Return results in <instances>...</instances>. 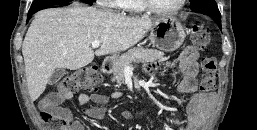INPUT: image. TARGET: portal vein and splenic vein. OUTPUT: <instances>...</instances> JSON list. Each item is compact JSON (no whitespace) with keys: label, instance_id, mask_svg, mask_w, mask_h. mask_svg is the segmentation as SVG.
<instances>
[{"label":"portal vein and splenic vein","instance_id":"18ae733b","mask_svg":"<svg viewBox=\"0 0 257 130\" xmlns=\"http://www.w3.org/2000/svg\"><path fill=\"white\" fill-rule=\"evenodd\" d=\"M100 44H101V41H98V40L93 41L92 42V47L93 48H98L100 46ZM131 72H132V69L129 66H125L124 73H131Z\"/></svg>","mask_w":257,"mask_h":130}]
</instances>
